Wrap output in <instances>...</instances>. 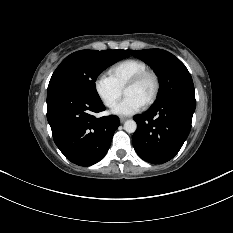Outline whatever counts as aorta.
<instances>
[{
  "instance_id": "762f6f07",
  "label": "aorta",
  "mask_w": 233,
  "mask_h": 233,
  "mask_svg": "<svg viewBox=\"0 0 233 233\" xmlns=\"http://www.w3.org/2000/svg\"><path fill=\"white\" fill-rule=\"evenodd\" d=\"M137 129V124L134 120H127L124 123V130L128 133H134Z\"/></svg>"
}]
</instances>
